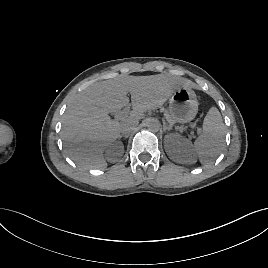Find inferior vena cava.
I'll return each instance as SVG.
<instances>
[{
  "label": "inferior vena cava",
  "instance_id": "602c4592",
  "mask_svg": "<svg viewBox=\"0 0 268 268\" xmlns=\"http://www.w3.org/2000/svg\"><path fill=\"white\" fill-rule=\"evenodd\" d=\"M138 122L133 120H126L120 125V132L123 135H129L132 131L135 130Z\"/></svg>",
  "mask_w": 268,
  "mask_h": 268
}]
</instances>
